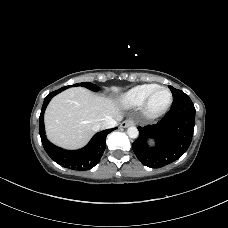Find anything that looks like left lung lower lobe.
<instances>
[{"instance_id":"obj_1","label":"left lung lower lobe","mask_w":228,"mask_h":228,"mask_svg":"<svg viewBox=\"0 0 228 228\" xmlns=\"http://www.w3.org/2000/svg\"><path fill=\"white\" fill-rule=\"evenodd\" d=\"M195 107L188 95L176 97L168 113L154 125L138 127L139 137L132 148L146 166L160 168L179 159L192 141ZM154 139L155 146L148 145Z\"/></svg>"}]
</instances>
